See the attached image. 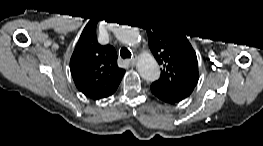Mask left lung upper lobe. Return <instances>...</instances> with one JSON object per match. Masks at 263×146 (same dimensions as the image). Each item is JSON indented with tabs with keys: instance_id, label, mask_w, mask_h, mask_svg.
Returning a JSON list of instances; mask_svg holds the SVG:
<instances>
[{
	"instance_id": "5c2ea615",
	"label": "left lung upper lobe",
	"mask_w": 263,
	"mask_h": 146,
	"mask_svg": "<svg viewBox=\"0 0 263 146\" xmlns=\"http://www.w3.org/2000/svg\"><path fill=\"white\" fill-rule=\"evenodd\" d=\"M149 47L163 70L153 82L168 93L183 100L193 91L199 79L196 53L181 32L168 25H146Z\"/></svg>"
}]
</instances>
